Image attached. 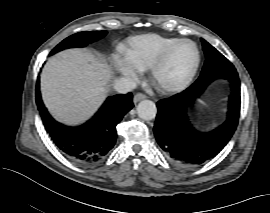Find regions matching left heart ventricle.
I'll return each instance as SVG.
<instances>
[{
	"label": "left heart ventricle",
	"instance_id": "1",
	"mask_svg": "<svg viewBox=\"0 0 270 213\" xmlns=\"http://www.w3.org/2000/svg\"><path fill=\"white\" fill-rule=\"evenodd\" d=\"M196 62L194 47L189 43L178 45L157 73L160 85H173L184 80L192 71Z\"/></svg>",
	"mask_w": 270,
	"mask_h": 213
}]
</instances>
